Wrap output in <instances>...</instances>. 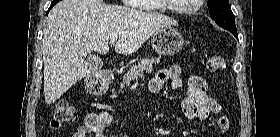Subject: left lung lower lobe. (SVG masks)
Returning <instances> with one entry per match:
<instances>
[{"mask_svg": "<svg viewBox=\"0 0 280 137\" xmlns=\"http://www.w3.org/2000/svg\"><path fill=\"white\" fill-rule=\"evenodd\" d=\"M230 32L238 39L237 31H230Z\"/></svg>", "mask_w": 280, "mask_h": 137, "instance_id": "left-lung-lower-lobe-1", "label": "left lung lower lobe"}]
</instances>
